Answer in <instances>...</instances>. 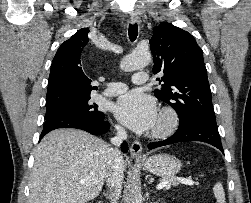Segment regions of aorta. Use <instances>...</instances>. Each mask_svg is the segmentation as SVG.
I'll return each mask as SVG.
<instances>
[{"instance_id":"obj_1","label":"aorta","mask_w":251,"mask_h":203,"mask_svg":"<svg viewBox=\"0 0 251 203\" xmlns=\"http://www.w3.org/2000/svg\"><path fill=\"white\" fill-rule=\"evenodd\" d=\"M150 61L151 54L148 50H136L121 61L120 67L124 71H134L146 67ZM132 203H142V201L136 196Z\"/></svg>"}]
</instances>
